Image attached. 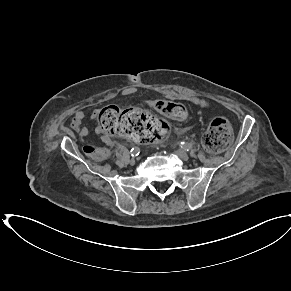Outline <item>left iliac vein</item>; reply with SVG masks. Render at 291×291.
I'll use <instances>...</instances> for the list:
<instances>
[{
	"instance_id": "left-iliac-vein-1",
	"label": "left iliac vein",
	"mask_w": 291,
	"mask_h": 291,
	"mask_svg": "<svg viewBox=\"0 0 291 291\" xmlns=\"http://www.w3.org/2000/svg\"><path fill=\"white\" fill-rule=\"evenodd\" d=\"M176 154L184 161H188L189 160V155L183 151V150H178L176 151Z\"/></svg>"
}]
</instances>
